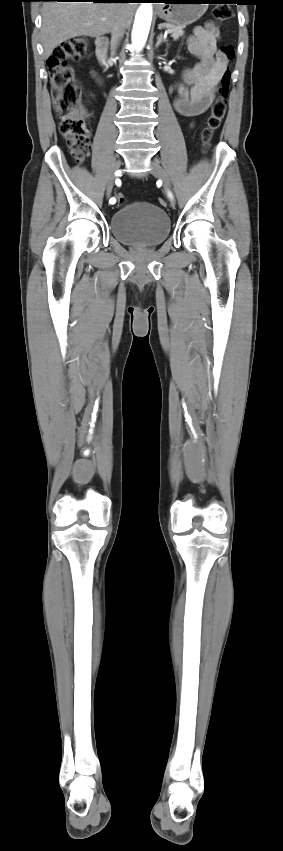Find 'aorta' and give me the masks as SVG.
<instances>
[{"mask_svg": "<svg viewBox=\"0 0 283 851\" xmlns=\"http://www.w3.org/2000/svg\"><path fill=\"white\" fill-rule=\"evenodd\" d=\"M152 21V6L150 3H142V5L138 8L133 30H132V43L136 47V49L141 50L144 44L147 41L150 26Z\"/></svg>", "mask_w": 283, "mask_h": 851, "instance_id": "obj_1", "label": "aorta"}]
</instances>
